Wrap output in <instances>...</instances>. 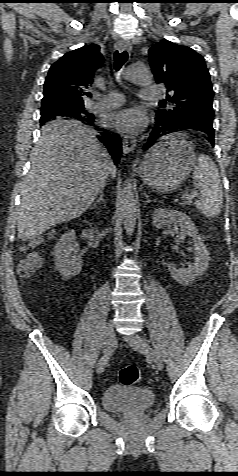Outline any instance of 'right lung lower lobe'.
Returning <instances> with one entry per match:
<instances>
[{
	"instance_id": "1",
	"label": "right lung lower lobe",
	"mask_w": 238,
	"mask_h": 476,
	"mask_svg": "<svg viewBox=\"0 0 238 476\" xmlns=\"http://www.w3.org/2000/svg\"><path fill=\"white\" fill-rule=\"evenodd\" d=\"M89 126H94V121H83ZM97 130H102L96 127ZM99 140L108 148L110 154L114 159V163L118 164L121 156V139L116 134L104 133Z\"/></svg>"
}]
</instances>
